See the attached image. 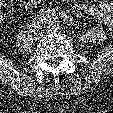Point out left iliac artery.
<instances>
[{"mask_svg":"<svg viewBox=\"0 0 113 113\" xmlns=\"http://www.w3.org/2000/svg\"><path fill=\"white\" fill-rule=\"evenodd\" d=\"M63 19H64V21H65L67 24H71V23H72L71 17H69V16L66 15V14L64 15ZM56 29H57V27H56Z\"/></svg>","mask_w":113,"mask_h":113,"instance_id":"obj_1","label":"left iliac artery"}]
</instances>
